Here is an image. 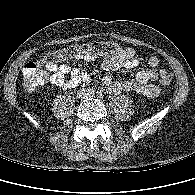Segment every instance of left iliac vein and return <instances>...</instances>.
<instances>
[{"label": "left iliac vein", "mask_w": 195, "mask_h": 195, "mask_svg": "<svg viewBox=\"0 0 195 195\" xmlns=\"http://www.w3.org/2000/svg\"><path fill=\"white\" fill-rule=\"evenodd\" d=\"M89 96H90V97H95V93H91V92H90V93H89Z\"/></svg>", "instance_id": "4c4485c4"}]
</instances>
